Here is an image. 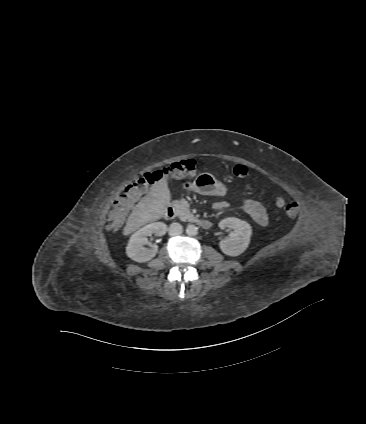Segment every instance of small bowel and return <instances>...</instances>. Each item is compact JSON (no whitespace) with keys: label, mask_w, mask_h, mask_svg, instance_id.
<instances>
[{"label":"small bowel","mask_w":366,"mask_h":424,"mask_svg":"<svg viewBox=\"0 0 366 424\" xmlns=\"http://www.w3.org/2000/svg\"><path fill=\"white\" fill-rule=\"evenodd\" d=\"M244 211L251 217V219L260 226H266L269 222V217L265 207L258 201L252 199H244L241 202ZM228 204L226 201H217L214 203L213 208L218 211L225 210Z\"/></svg>","instance_id":"obj_1"}]
</instances>
